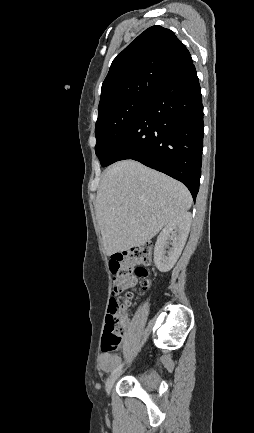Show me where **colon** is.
Listing matches in <instances>:
<instances>
[{"label":"colon","instance_id":"1","mask_svg":"<svg viewBox=\"0 0 254 433\" xmlns=\"http://www.w3.org/2000/svg\"><path fill=\"white\" fill-rule=\"evenodd\" d=\"M151 259V246L138 247L114 255L111 261V270L114 273L113 288L116 292L125 291L126 300L121 303L116 298L110 299L102 342L103 352H113L120 346L126 327L125 310L129 307L130 300L151 284L146 268Z\"/></svg>","mask_w":254,"mask_h":433}]
</instances>
